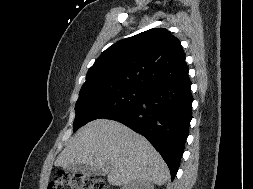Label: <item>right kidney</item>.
Segmentation results:
<instances>
[{
  "instance_id": "ca27d5eb",
  "label": "right kidney",
  "mask_w": 253,
  "mask_h": 189,
  "mask_svg": "<svg viewBox=\"0 0 253 189\" xmlns=\"http://www.w3.org/2000/svg\"><path fill=\"white\" fill-rule=\"evenodd\" d=\"M121 189H154V186L151 182L146 180H133L124 185Z\"/></svg>"
}]
</instances>
